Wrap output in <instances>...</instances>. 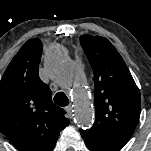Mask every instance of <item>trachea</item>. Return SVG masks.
Wrapping results in <instances>:
<instances>
[{"label":"trachea","mask_w":151,"mask_h":151,"mask_svg":"<svg viewBox=\"0 0 151 151\" xmlns=\"http://www.w3.org/2000/svg\"><path fill=\"white\" fill-rule=\"evenodd\" d=\"M54 102L61 107L67 106L69 104V100L63 92L56 93L54 96Z\"/></svg>","instance_id":"3493384b"}]
</instances>
